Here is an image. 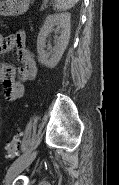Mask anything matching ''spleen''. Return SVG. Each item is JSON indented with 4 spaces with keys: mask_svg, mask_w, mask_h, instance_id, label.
I'll return each instance as SVG.
<instances>
[{
    "mask_svg": "<svg viewBox=\"0 0 119 185\" xmlns=\"http://www.w3.org/2000/svg\"><path fill=\"white\" fill-rule=\"evenodd\" d=\"M79 0H55V8L58 11H66L72 8Z\"/></svg>",
    "mask_w": 119,
    "mask_h": 185,
    "instance_id": "3e777b00",
    "label": "spleen"
}]
</instances>
